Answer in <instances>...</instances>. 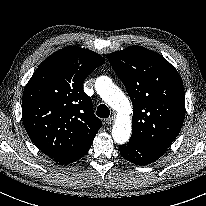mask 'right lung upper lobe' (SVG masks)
Wrapping results in <instances>:
<instances>
[{
	"mask_svg": "<svg viewBox=\"0 0 206 206\" xmlns=\"http://www.w3.org/2000/svg\"><path fill=\"white\" fill-rule=\"evenodd\" d=\"M104 63L98 53L65 47L45 59L26 85L24 127L32 142L54 160L92 142L101 128L83 82Z\"/></svg>",
	"mask_w": 206,
	"mask_h": 206,
	"instance_id": "obj_1",
	"label": "right lung upper lobe"
}]
</instances>
